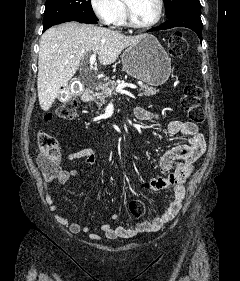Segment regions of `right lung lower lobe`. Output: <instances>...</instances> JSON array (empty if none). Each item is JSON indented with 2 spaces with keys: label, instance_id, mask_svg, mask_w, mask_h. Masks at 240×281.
Returning a JSON list of instances; mask_svg holds the SVG:
<instances>
[{
  "label": "right lung lower lobe",
  "instance_id": "98d812e1",
  "mask_svg": "<svg viewBox=\"0 0 240 281\" xmlns=\"http://www.w3.org/2000/svg\"><path fill=\"white\" fill-rule=\"evenodd\" d=\"M97 20H82V21H78V22H80V23H88V24H97ZM68 21H73V20H65V21L58 22L57 24L63 23V22H68ZM45 30H46V28H43V31H45Z\"/></svg>",
  "mask_w": 240,
  "mask_h": 281
}]
</instances>
